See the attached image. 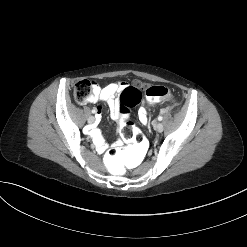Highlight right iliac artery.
I'll return each mask as SVG.
<instances>
[{"mask_svg":"<svg viewBox=\"0 0 247 247\" xmlns=\"http://www.w3.org/2000/svg\"><path fill=\"white\" fill-rule=\"evenodd\" d=\"M91 112L94 114V113H96V110H95V109H93Z\"/></svg>","mask_w":247,"mask_h":247,"instance_id":"1","label":"right iliac artery"}]
</instances>
